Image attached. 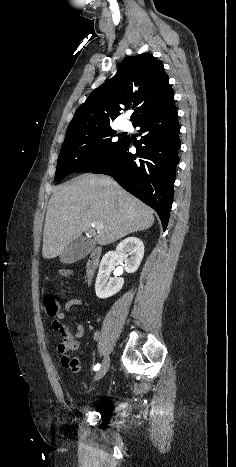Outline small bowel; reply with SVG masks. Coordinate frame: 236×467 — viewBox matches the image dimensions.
Here are the masks:
<instances>
[{
    "label": "small bowel",
    "mask_w": 236,
    "mask_h": 467,
    "mask_svg": "<svg viewBox=\"0 0 236 467\" xmlns=\"http://www.w3.org/2000/svg\"><path fill=\"white\" fill-rule=\"evenodd\" d=\"M83 304L82 299L78 296L71 297L65 304V311L70 312L75 308L81 307ZM65 313L60 312L57 314L56 319L51 322V328L59 332L63 341L58 345V354L61 365L72 371L78 373L80 371L79 362L71 357V352L75 351L80 346V339L83 337L85 327L82 322L77 323L75 329L72 331L67 326L61 323L65 319Z\"/></svg>",
    "instance_id": "obj_1"
}]
</instances>
